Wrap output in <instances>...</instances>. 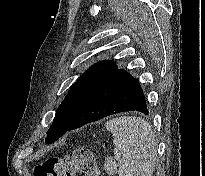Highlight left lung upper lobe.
Returning <instances> with one entry per match:
<instances>
[{
    "mask_svg": "<svg viewBox=\"0 0 205 176\" xmlns=\"http://www.w3.org/2000/svg\"><path fill=\"white\" fill-rule=\"evenodd\" d=\"M117 70L118 67L113 60L101 61L91 66L79 77L56 111L53 123L47 131L48 136L45 139L47 144L55 142L66 133L80 104L95 93Z\"/></svg>",
    "mask_w": 205,
    "mask_h": 176,
    "instance_id": "obj_1",
    "label": "left lung upper lobe"
}]
</instances>
